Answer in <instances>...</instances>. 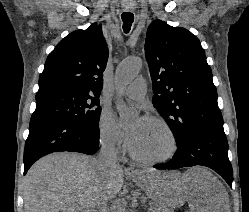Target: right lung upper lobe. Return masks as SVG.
I'll use <instances>...</instances> for the list:
<instances>
[{"label":"right lung upper lobe","mask_w":249,"mask_h":212,"mask_svg":"<svg viewBox=\"0 0 249 212\" xmlns=\"http://www.w3.org/2000/svg\"><path fill=\"white\" fill-rule=\"evenodd\" d=\"M107 60L108 49L101 25L74 31L47 57L36 95L80 92L99 96Z\"/></svg>","instance_id":"obj_1"}]
</instances>
